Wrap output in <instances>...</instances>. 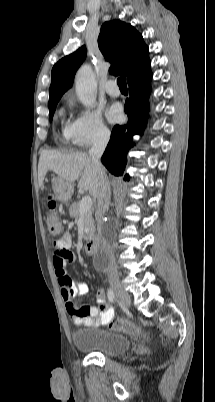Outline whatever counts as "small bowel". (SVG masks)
<instances>
[{
    "instance_id": "1",
    "label": "small bowel",
    "mask_w": 215,
    "mask_h": 402,
    "mask_svg": "<svg viewBox=\"0 0 215 402\" xmlns=\"http://www.w3.org/2000/svg\"><path fill=\"white\" fill-rule=\"evenodd\" d=\"M53 266L61 289V296L70 320L74 325L97 327L109 325L114 317L112 306L105 300V292L99 289L97 306H80L76 300L88 293V286L82 281H74L68 275L66 265L77 260L71 250L72 240L69 234H63L54 241Z\"/></svg>"
}]
</instances>
